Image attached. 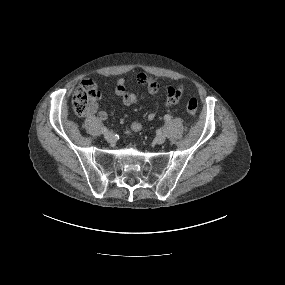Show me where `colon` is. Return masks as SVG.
Wrapping results in <instances>:
<instances>
[{
    "label": "colon",
    "instance_id": "obj_1",
    "mask_svg": "<svg viewBox=\"0 0 285 285\" xmlns=\"http://www.w3.org/2000/svg\"><path fill=\"white\" fill-rule=\"evenodd\" d=\"M98 94V90L91 80L83 81L80 86L76 89L72 98V107L74 113L77 116H83L92 101V99ZM198 110V101L196 98H190L186 104V111L194 117Z\"/></svg>",
    "mask_w": 285,
    "mask_h": 285
}]
</instances>
